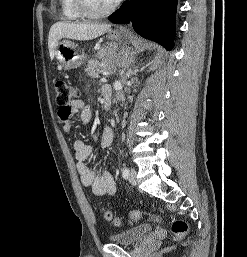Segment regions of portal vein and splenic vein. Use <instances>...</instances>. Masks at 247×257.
<instances>
[{"instance_id":"portal-vein-and-splenic-vein-1","label":"portal vein and splenic vein","mask_w":247,"mask_h":257,"mask_svg":"<svg viewBox=\"0 0 247 257\" xmlns=\"http://www.w3.org/2000/svg\"><path fill=\"white\" fill-rule=\"evenodd\" d=\"M110 73L109 72H103V76L107 77Z\"/></svg>"}]
</instances>
